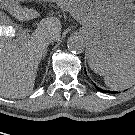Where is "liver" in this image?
I'll return each mask as SVG.
<instances>
[{"instance_id":"obj_1","label":"liver","mask_w":135,"mask_h":135,"mask_svg":"<svg viewBox=\"0 0 135 135\" xmlns=\"http://www.w3.org/2000/svg\"><path fill=\"white\" fill-rule=\"evenodd\" d=\"M7 1L6 10L19 21H28L40 15L33 8ZM61 28L60 20L48 17L42 19L31 36L26 38L13 39L0 35V95L6 98H23L31 94L38 66L48 47L46 39L54 35L55 41H58Z\"/></svg>"}]
</instances>
